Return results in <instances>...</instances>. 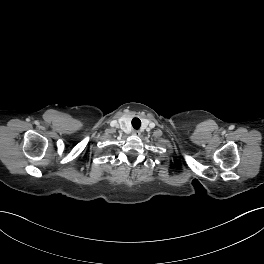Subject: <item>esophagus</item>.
I'll list each match as a JSON object with an SVG mask.
<instances>
[{
  "label": "esophagus",
  "mask_w": 264,
  "mask_h": 264,
  "mask_svg": "<svg viewBox=\"0 0 264 264\" xmlns=\"http://www.w3.org/2000/svg\"><path fill=\"white\" fill-rule=\"evenodd\" d=\"M132 135H134V136H139V135H140V131H138V130H134V131L132 132Z\"/></svg>",
  "instance_id": "34e87169"
}]
</instances>
